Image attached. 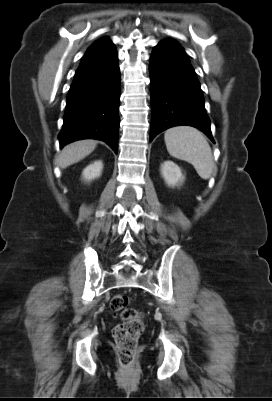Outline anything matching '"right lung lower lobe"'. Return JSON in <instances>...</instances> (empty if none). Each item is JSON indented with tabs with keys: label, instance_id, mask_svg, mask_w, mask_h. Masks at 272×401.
<instances>
[{
	"label": "right lung lower lobe",
	"instance_id": "obj_1",
	"mask_svg": "<svg viewBox=\"0 0 272 401\" xmlns=\"http://www.w3.org/2000/svg\"><path fill=\"white\" fill-rule=\"evenodd\" d=\"M120 69L114 45L81 62L67 96L60 147L98 139L118 149Z\"/></svg>",
	"mask_w": 272,
	"mask_h": 401
}]
</instances>
